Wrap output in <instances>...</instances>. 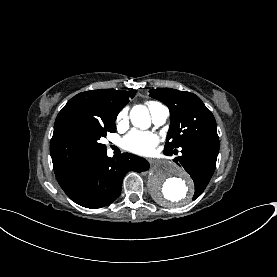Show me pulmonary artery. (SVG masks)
I'll return each instance as SVG.
<instances>
[{
  "label": "pulmonary artery",
  "instance_id": "obj_1",
  "mask_svg": "<svg viewBox=\"0 0 277 277\" xmlns=\"http://www.w3.org/2000/svg\"><path fill=\"white\" fill-rule=\"evenodd\" d=\"M150 115L155 125L161 126L166 123L169 118L170 112L165 105L154 102L150 107Z\"/></svg>",
  "mask_w": 277,
  "mask_h": 277
}]
</instances>
